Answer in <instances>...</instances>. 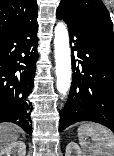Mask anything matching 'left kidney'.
Masks as SVG:
<instances>
[{"label":"left kidney","mask_w":114,"mask_h":156,"mask_svg":"<svg viewBox=\"0 0 114 156\" xmlns=\"http://www.w3.org/2000/svg\"><path fill=\"white\" fill-rule=\"evenodd\" d=\"M65 156H86V155L82 152V150L76 143L70 142L66 147Z\"/></svg>","instance_id":"obj_1"}]
</instances>
